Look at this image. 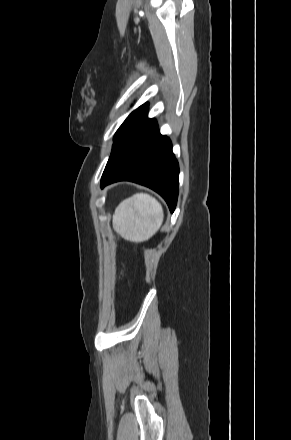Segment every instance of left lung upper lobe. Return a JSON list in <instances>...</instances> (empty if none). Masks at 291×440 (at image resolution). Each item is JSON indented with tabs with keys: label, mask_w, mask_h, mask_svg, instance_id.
Here are the masks:
<instances>
[{
	"label": "left lung upper lobe",
	"mask_w": 291,
	"mask_h": 440,
	"mask_svg": "<svg viewBox=\"0 0 291 440\" xmlns=\"http://www.w3.org/2000/svg\"><path fill=\"white\" fill-rule=\"evenodd\" d=\"M148 107V103L143 104L138 109L134 110L124 121V123L120 126V128L117 130L114 139H116L120 133L140 114H142Z\"/></svg>",
	"instance_id": "obj_1"
}]
</instances>
